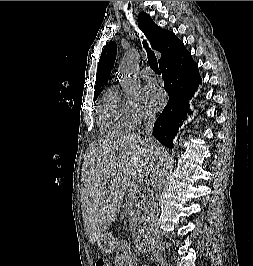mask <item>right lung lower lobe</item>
I'll return each instance as SVG.
<instances>
[{
    "instance_id": "right-lung-lower-lobe-1",
    "label": "right lung lower lobe",
    "mask_w": 253,
    "mask_h": 266,
    "mask_svg": "<svg viewBox=\"0 0 253 266\" xmlns=\"http://www.w3.org/2000/svg\"><path fill=\"white\" fill-rule=\"evenodd\" d=\"M159 66L169 101L157 118L152 134L165 147L172 148L178 128L187 117L189 100L201 84V77L198 65L186 48L177 57Z\"/></svg>"
}]
</instances>
